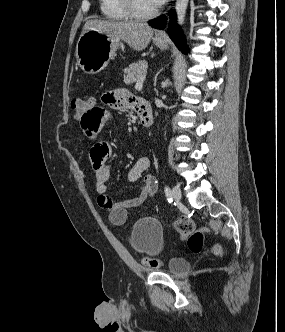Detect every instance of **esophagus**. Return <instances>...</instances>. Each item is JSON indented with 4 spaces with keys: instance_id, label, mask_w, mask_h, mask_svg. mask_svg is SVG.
Here are the masks:
<instances>
[{
    "instance_id": "34e87169",
    "label": "esophagus",
    "mask_w": 285,
    "mask_h": 332,
    "mask_svg": "<svg viewBox=\"0 0 285 332\" xmlns=\"http://www.w3.org/2000/svg\"><path fill=\"white\" fill-rule=\"evenodd\" d=\"M157 37H164L165 36V32L163 30H160L156 33Z\"/></svg>"
}]
</instances>
